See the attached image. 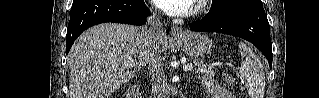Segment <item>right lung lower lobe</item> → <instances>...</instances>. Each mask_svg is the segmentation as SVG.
<instances>
[{"label":"right lung lower lobe","mask_w":319,"mask_h":98,"mask_svg":"<svg viewBox=\"0 0 319 98\" xmlns=\"http://www.w3.org/2000/svg\"><path fill=\"white\" fill-rule=\"evenodd\" d=\"M148 15L143 0H74L67 28L66 53L76 38L93 25L105 22L143 25Z\"/></svg>","instance_id":"98d812e1"}]
</instances>
